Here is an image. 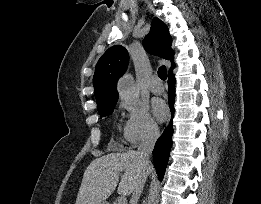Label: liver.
<instances>
[{
  "instance_id": "obj_1",
  "label": "liver",
  "mask_w": 261,
  "mask_h": 204,
  "mask_svg": "<svg viewBox=\"0 0 261 204\" xmlns=\"http://www.w3.org/2000/svg\"><path fill=\"white\" fill-rule=\"evenodd\" d=\"M124 175L118 186V193L130 195L142 178L137 151L111 153L93 160L86 168L76 199V204H102L119 182L120 172ZM152 172L146 170V177Z\"/></svg>"
}]
</instances>
